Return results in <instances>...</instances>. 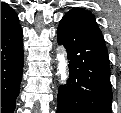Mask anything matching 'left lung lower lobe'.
Returning <instances> with one entry per match:
<instances>
[{
    "label": "left lung lower lobe",
    "mask_w": 121,
    "mask_h": 113,
    "mask_svg": "<svg viewBox=\"0 0 121 113\" xmlns=\"http://www.w3.org/2000/svg\"><path fill=\"white\" fill-rule=\"evenodd\" d=\"M69 60V78L58 92L57 113H112L110 67L104 39L63 17L57 31Z\"/></svg>",
    "instance_id": "left-lung-lower-lobe-1"
}]
</instances>
